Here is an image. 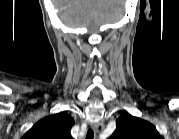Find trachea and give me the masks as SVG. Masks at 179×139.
<instances>
[{
  "label": "trachea",
  "instance_id": "3493384b",
  "mask_svg": "<svg viewBox=\"0 0 179 139\" xmlns=\"http://www.w3.org/2000/svg\"><path fill=\"white\" fill-rule=\"evenodd\" d=\"M93 137H94V132L92 129H89L87 132L86 139H93Z\"/></svg>",
  "mask_w": 179,
  "mask_h": 139
}]
</instances>
